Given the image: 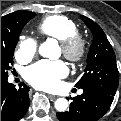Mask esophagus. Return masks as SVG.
Returning <instances> with one entry per match:
<instances>
[{
  "label": "esophagus",
  "mask_w": 121,
  "mask_h": 121,
  "mask_svg": "<svg viewBox=\"0 0 121 121\" xmlns=\"http://www.w3.org/2000/svg\"><path fill=\"white\" fill-rule=\"evenodd\" d=\"M48 97L51 99V100H55L56 98H57V96H55V95H48Z\"/></svg>",
  "instance_id": "esophagus-1"
}]
</instances>
